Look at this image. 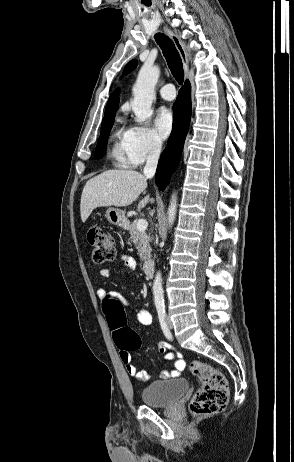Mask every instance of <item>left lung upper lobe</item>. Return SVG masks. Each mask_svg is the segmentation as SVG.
Listing matches in <instances>:
<instances>
[{
    "label": "left lung upper lobe",
    "instance_id": "1",
    "mask_svg": "<svg viewBox=\"0 0 294 462\" xmlns=\"http://www.w3.org/2000/svg\"><path fill=\"white\" fill-rule=\"evenodd\" d=\"M136 65H137L136 60H132L131 62H129L125 67L124 74L129 73L130 71H132L136 67Z\"/></svg>",
    "mask_w": 294,
    "mask_h": 462
}]
</instances>
